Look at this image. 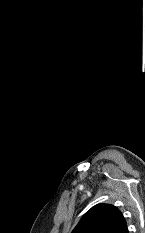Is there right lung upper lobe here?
I'll use <instances>...</instances> for the list:
<instances>
[{"instance_id":"obj_1","label":"right lung upper lobe","mask_w":145,"mask_h":233,"mask_svg":"<svg viewBox=\"0 0 145 233\" xmlns=\"http://www.w3.org/2000/svg\"><path fill=\"white\" fill-rule=\"evenodd\" d=\"M72 233H129L117 207L97 204L83 215Z\"/></svg>"}]
</instances>
